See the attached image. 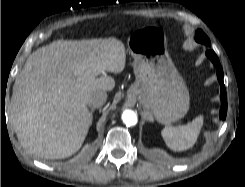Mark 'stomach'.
Wrapping results in <instances>:
<instances>
[{
	"instance_id": "obj_1",
	"label": "stomach",
	"mask_w": 245,
	"mask_h": 187,
	"mask_svg": "<svg viewBox=\"0 0 245 187\" xmlns=\"http://www.w3.org/2000/svg\"><path fill=\"white\" fill-rule=\"evenodd\" d=\"M127 46L134 57L136 76L128 97L162 124L184 117L189 110V92L167 53L165 31L157 26L141 28L130 35Z\"/></svg>"
}]
</instances>
